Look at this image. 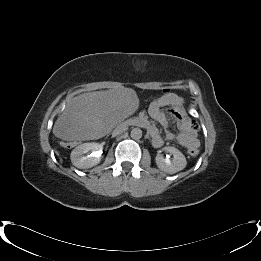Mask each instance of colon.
<instances>
[{"label": "colon", "mask_w": 261, "mask_h": 261, "mask_svg": "<svg viewBox=\"0 0 261 261\" xmlns=\"http://www.w3.org/2000/svg\"><path fill=\"white\" fill-rule=\"evenodd\" d=\"M179 121L184 124L185 123V120L183 118H180ZM193 127L197 128V126L195 124H193ZM63 146H68L70 147L71 144L70 143H62ZM199 152V149L198 147L196 146H191L188 148V154L191 155V156H196Z\"/></svg>", "instance_id": "1"}]
</instances>
